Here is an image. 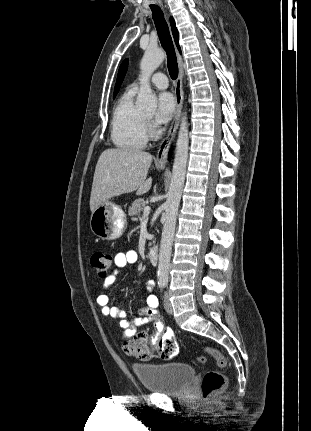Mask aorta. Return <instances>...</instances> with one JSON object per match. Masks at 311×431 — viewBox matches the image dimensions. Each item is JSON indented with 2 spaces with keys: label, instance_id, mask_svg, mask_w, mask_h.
<instances>
[{
  "label": "aorta",
  "instance_id": "762f6f07",
  "mask_svg": "<svg viewBox=\"0 0 311 431\" xmlns=\"http://www.w3.org/2000/svg\"><path fill=\"white\" fill-rule=\"evenodd\" d=\"M165 58V52H163V50H159V48H156V50H151V48H148V50H146L140 62V90L136 100L137 108L149 110V112H154V110H156L157 98L151 90L149 80L153 72H155V70L159 68L160 64L164 62ZM188 132L189 130L186 112H183L176 142V152L172 168V178L170 182L168 198L165 202V221L161 235L158 261V281H160V283L161 281H166V283L168 281V271L173 235L176 225V217L178 214V208L186 176L189 148Z\"/></svg>",
  "mask_w": 311,
  "mask_h": 431
}]
</instances>
